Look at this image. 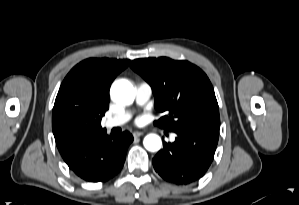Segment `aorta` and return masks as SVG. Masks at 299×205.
Masks as SVG:
<instances>
[{"label":"aorta","mask_w":299,"mask_h":205,"mask_svg":"<svg viewBox=\"0 0 299 205\" xmlns=\"http://www.w3.org/2000/svg\"><path fill=\"white\" fill-rule=\"evenodd\" d=\"M111 98L122 105H129L134 101L135 91L133 85L125 79L114 82L110 90ZM144 147L150 152L161 149V138L156 134H148L143 140Z\"/></svg>","instance_id":"762f6f07"}]
</instances>
